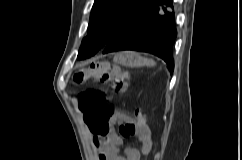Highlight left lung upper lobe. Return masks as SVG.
I'll return each mask as SVG.
<instances>
[{
    "mask_svg": "<svg viewBox=\"0 0 242 160\" xmlns=\"http://www.w3.org/2000/svg\"><path fill=\"white\" fill-rule=\"evenodd\" d=\"M154 0H95L87 37L81 43L78 59L93 56L123 29L135 21Z\"/></svg>",
    "mask_w": 242,
    "mask_h": 160,
    "instance_id": "obj_1",
    "label": "left lung upper lobe"
}]
</instances>
